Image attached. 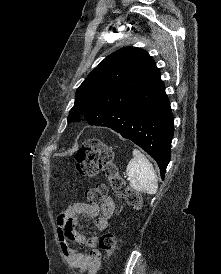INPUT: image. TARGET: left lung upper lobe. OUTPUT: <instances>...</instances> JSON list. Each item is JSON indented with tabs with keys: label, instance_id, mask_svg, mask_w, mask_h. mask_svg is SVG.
Returning a JSON list of instances; mask_svg holds the SVG:
<instances>
[{
	"label": "left lung upper lobe",
	"instance_id": "1",
	"mask_svg": "<svg viewBox=\"0 0 221 274\" xmlns=\"http://www.w3.org/2000/svg\"><path fill=\"white\" fill-rule=\"evenodd\" d=\"M159 71L153 58L144 50L125 47L107 56L76 90L68 121L84 115L89 124L94 113L136 98Z\"/></svg>",
	"mask_w": 221,
	"mask_h": 274
}]
</instances>
